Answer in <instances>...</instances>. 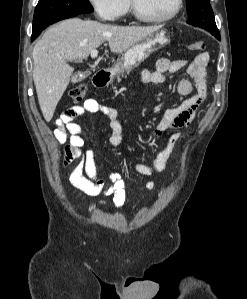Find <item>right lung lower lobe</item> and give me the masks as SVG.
I'll use <instances>...</instances> for the list:
<instances>
[{
	"label": "right lung lower lobe",
	"instance_id": "98d812e1",
	"mask_svg": "<svg viewBox=\"0 0 247 299\" xmlns=\"http://www.w3.org/2000/svg\"><path fill=\"white\" fill-rule=\"evenodd\" d=\"M76 15H78V14L70 15V16H68V17H66V18H70V17L76 16ZM39 34H40V33H38V34H36V35H32L31 40L34 41L35 38H36Z\"/></svg>",
	"mask_w": 247,
	"mask_h": 299
}]
</instances>
